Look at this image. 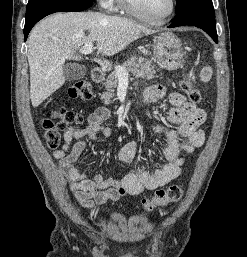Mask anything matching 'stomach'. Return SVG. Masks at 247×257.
<instances>
[{
  "mask_svg": "<svg viewBox=\"0 0 247 257\" xmlns=\"http://www.w3.org/2000/svg\"><path fill=\"white\" fill-rule=\"evenodd\" d=\"M153 59L164 69L174 70L182 65L185 52L182 42L173 33H161L154 39Z\"/></svg>",
  "mask_w": 247,
  "mask_h": 257,
  "instance_id": "obj_1",
  "label": "stomach"
}]
</instances>
